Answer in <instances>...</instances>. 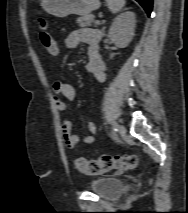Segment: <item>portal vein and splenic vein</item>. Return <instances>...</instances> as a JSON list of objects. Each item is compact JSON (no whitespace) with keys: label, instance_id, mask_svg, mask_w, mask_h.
<instances>
[{"label":"portal vein and splenic vein","instance_id":"portal-vein-and-splenic-vein-1","mask_svg":"<svg viewBox=\"0 0 188 213\" xmlns=\"http://www.w3.org/2000/svg\"><path fill=\"white\" fill-rule=\"evenodd\" d=\"M95 22H96V24H97V25H99V24H100V20H96Z\"/></svg>","mask_w":188,"mask_h":213}]
</instances>
